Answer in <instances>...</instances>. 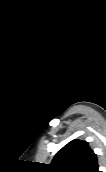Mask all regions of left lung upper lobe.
Returning a JSON list of instances; mask_svg holds the SVG:
<instances>
[{
  "label": "left lung upper lobe",
  "mask_w": 106,
  "mask_h": 172,
  "mask_svg": "<svg viewBox=\"0 0 106 172\" xmlns=\"http://www.w3.org/2000/svg\"><path fill=\"white\" fill-rule=\"evenodd\" d=\"M50 166L54 172H99L96 154L86 141L78 139L64 146Z\"/></svg>",
  "instance_id": "5c2ea615"
}]
</instances>
